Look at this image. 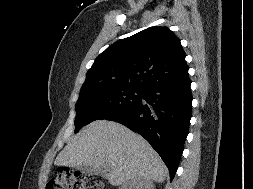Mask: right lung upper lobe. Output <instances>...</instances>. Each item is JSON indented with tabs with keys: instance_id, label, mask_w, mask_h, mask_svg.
<instances>
[{
	"instance_id": "1",
	"label": "right lung upper lobe",
	"mask_w": 253,
	"mask_h": 189,
	"mask_svg": "<svg viewBox=\"0 0 253 189\" xmlns=\"http://www.w3.org/2000/svg\"><path fill=\"white\" fill-rule=\"evenodd\" d=\"M188 77L179 38L167 27H149L109 46L87 72L81 92L107 86L150 87Z\"/></svg>"
}]
</instances>
